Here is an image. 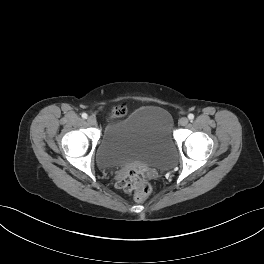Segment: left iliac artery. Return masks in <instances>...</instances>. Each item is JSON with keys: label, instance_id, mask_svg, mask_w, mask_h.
I'll return each instance as SVG.
<instances>
[{"label": "left iliac artery", "instance_id": "44dca946", "mask_svg": "<svg viewBox=\"0 0 264 264\" xmlns=\"http://www.w3.org/2000/svg\"><path fill=\"white\" fill-rule=\"evenodd\" d=\"M188 118H189V120H193V119H194V115H193L192 113H190V114L188 115Z\"/></svg>", "mask_w": 264, "mask_h": 264}]
</instances>
